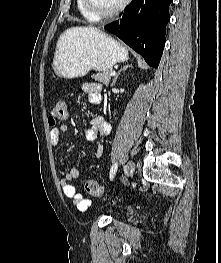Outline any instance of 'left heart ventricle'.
<instances>
[{
	"instance_id": "left-heart-ventricle-1",
	"label": "left heart ventricle",
	"mask_w": 221,
	"mask_h": 263,
	"mask_svg": "<svg viewBox=\"0 0 221 263\" xmlns=\"http://www.w3.org/2000/svg\"><path fill=\"white\" fill-rule=\"evenodd\" d=\"M122 0H91L92 5L100 12L116 8Z\"/></svg>"
}]
</instances>
